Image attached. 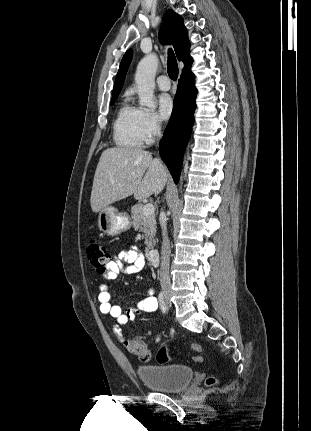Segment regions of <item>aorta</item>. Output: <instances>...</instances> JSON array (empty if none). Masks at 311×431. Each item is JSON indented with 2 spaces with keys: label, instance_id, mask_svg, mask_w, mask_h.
Instances as JSON below:
<instances>
[{
  "label": "aorta",
  "instance_id": "aorta-1",
  "mask_svg": "<svg viewBox=\"0 0 311 431\" xmlns=\"http://www.w3.org/2000/svg\"><path fill=\"white\" fill-rule=\"evenodd\" d=\"M159 60L156 54H149L139 62L135 74V84L139 96V106L156 108L154 102L155 76Z\"/></svg>",
  "mask_w": 311,
  "mask_h": 431
}]
</instances>
